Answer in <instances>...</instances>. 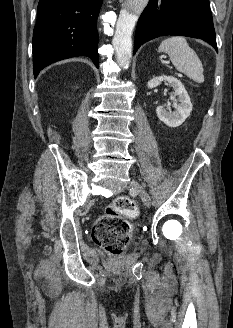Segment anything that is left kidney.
<instances>
[{
	"instance_id": "left-kidney-1",
	"label": "left kidney",
	"mask_w": 233,
	"mask_h": 328,
	"mask_svg": "<svg viewBox=\"0 0 233 328\" xmlns=\"http://www.w3.org/2000/svg\"><path fill=\"white\" fill-rule=\"evenodd\" d=\"M162 81H167L174 89L173 94L170 96V99L173 101L174 111H172L170 107L165 109L163 106H157V116L167 126L178 127L187 119L192 111L190 97L181 81L172 76L162 75L154 77L148 81L147 86L148 88L153 89Z\"/></svg>"
}]
</instances>
